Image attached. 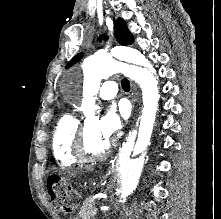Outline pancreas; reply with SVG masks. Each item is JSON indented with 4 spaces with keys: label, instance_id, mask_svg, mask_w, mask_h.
Wrapping results in <instances>:
<instances>
[{
    "label": "pancreas",
    "instance_id": "obj_1",
    "mask_svg": "<svg viewBox=\"0 0 221 219\" xmlns=\"http://www.w3.org/2000/svg\"><path fill=\"white\" fill-rule=\"evenodd\" d=\"M95 204L91 199L85 200L79 212L81 219H92L94 217L96 214Z\"/></svg>",
    "mask_w": 221,
    "mask_h": 219
}]
</instances>
